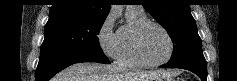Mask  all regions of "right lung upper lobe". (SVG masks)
<instances>
[{"label":"right lung upper lobe","mask_w":237,"mask_h":81,"mask_svg":"<svg viewBox=\"0 0 237 81\" xmlns=\"http://www.w3.org/2000/svg\"><path fill=\"white\" fill-rule=\"evenodd\" d=\"M111 0H55L49 19L62 16H82L106 19Z\"/></svg>","instance_id":"obj_1"}]
</instances>
